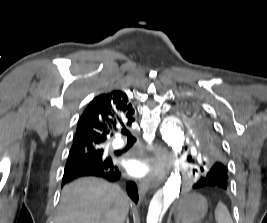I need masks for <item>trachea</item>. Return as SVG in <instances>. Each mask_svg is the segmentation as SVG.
I'll use <instances>...</instances> for the list:
<instances>
[{"label": "trachea", "mask_w": 267, "mask_h": 223, "mask_svg": "<svg viewBox=\"0 0 267 223\" xmlns=\"http://www.w3.org/2000/svg\"><path fill=\"white\" fill-rule=\"evenodd\" d=\"M121 133L127 136V141L129 143H134L136 141V138L131 134L130 131L124 129L121 131Z\"/></svg>", "instance_id": "3493384b"}]
</instances>
